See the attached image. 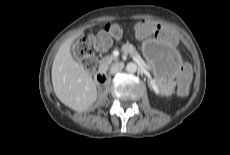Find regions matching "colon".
Masks as SVG:
<instances>
[{
  "label": "colon",
  "instance_id": "5ec220e1",
  "mask_svg": "<svg viewBox=\"0 0 230 155\" xmlns=\"http://www.w3.org/2000/svg\"><path fill=\"white\" fill-rule=\"evenodd\" d=\"M123 36V29L118 24H107L95 33L82 39L76 47L77 55L83 60L87 68L92 69L96 66L97 60L93 50L104 51L116 40ZM190 75L188 65L181 64L179 69V93L184 94L186 91L187 80Z\"/></svg>",
  "mask_w": 230,
  "mask_h": 155
}]
</instances>
